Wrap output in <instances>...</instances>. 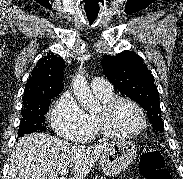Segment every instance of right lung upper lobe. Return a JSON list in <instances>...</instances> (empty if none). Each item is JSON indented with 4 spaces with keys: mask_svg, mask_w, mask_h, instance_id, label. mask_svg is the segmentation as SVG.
Masks as SVG:
<instances>
[{
    "mask_svg": "<svg viewBox=\"0 0 183 179\" xmlns=\"http://www.w3.org/2000/svg\"><path fill=\"white\" fill-rule=\"evenodd\" d=\"M64 67L63 59L53 53L41 58L27 80L22 98L23 104L43 97L57 96L64 88L62 83Z\"/></svg>",
    "mask_w": 183,
    "mask_h": 179,
    "instance_id": "obj_1",
    "label": "right lung upper lobe"
}]
</instances>
